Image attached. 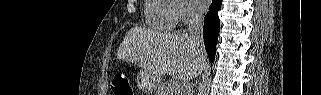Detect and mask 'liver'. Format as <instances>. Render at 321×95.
Masks as SVG:
<instances>
[{"mask_svg": "<svg viewBox=\"0 0 321 95\" xmlns=\"http://www.w3.org/2000/svg\"><path fill=\"white\" fill-rule=\"evenodd\" d=\"M117 58L140 66L156 79L165 74L191 79L207 63L205 51L198 52L188 34H160L139 27L127 33Z\"/></svg>", "mask_w": 321, "mask_h": 95, "instance_id": "6515ba94", "label": "liver"}]
</instances>
